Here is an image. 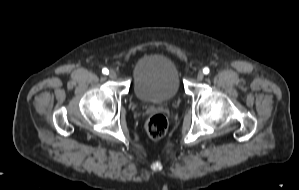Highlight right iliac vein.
I'll return each mask as SVG.
<instances>
[{"label":"right iliac vein","mask_w":299,"mask_h":190,"mask_svg":"<svg viewBox=\"0 0 299 190\" xmlns=\"http://www.w3.org/2000/svg\"><path fill=\"white\" fill-rule=\"evenodd\" d=\"M109 77H110L111 79H116V78H117V73H116L114 70H111V71L109 72Z\"/></svg>","instance_id":"63e3f726"}]
</instances>
